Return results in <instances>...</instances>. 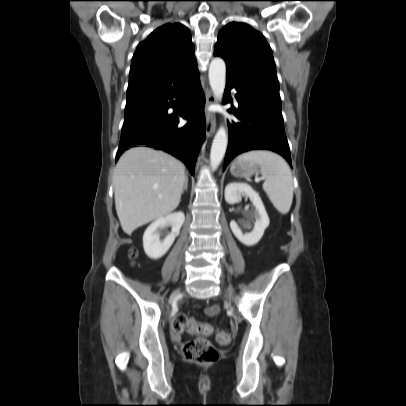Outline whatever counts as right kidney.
I'll return each instance as SVG.
<instances>
[{"instance_id":"right-kidney-1","label":"right kidney","mask_w":406,"mask_h":406,"mask_svg":"<svg viewBox=\"0 0 406 406\" xmlns=\"http://www.w3.org/2000/svg\"><path fill=\"white\" fill-rule=\"evenodd\" d=\"M184 220V213L176 212L155 220L146 229L143 235V247L149 258L159 259L169 250L176 236L179 234ZM168 225H171L172 231L162 241L160 239L159 229H162Z\"/></svg>"}]
</instances>
